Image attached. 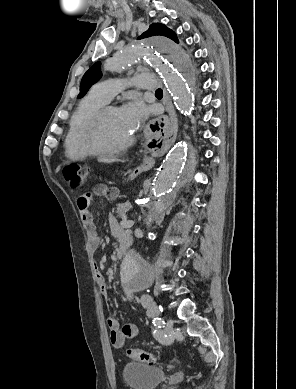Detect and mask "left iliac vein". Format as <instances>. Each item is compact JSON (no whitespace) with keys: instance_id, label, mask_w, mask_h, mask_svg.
<instances>
[{"instance_id":"obj_1","label":"left iliac vein","mask_w":296,"mask_h":389,"mask_svg":"<svg viewBox=\"0 0 296 389\" xmlns=\"http://www.w3.org/2000/svg\"><path fill=\"white\" fill-rule=\"evenodd\" d=\"M172 332H173V322L171 320H168L164 328V334L170 336Z\"/></svg>"}]
</instances>
